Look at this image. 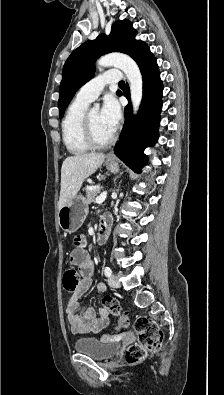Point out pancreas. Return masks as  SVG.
<instances>
[{
    "mask_svg": "<svg viewBox=\"0 0 224 395\" xmlns=\"http://www.w3.org/2000/svg\"><path fill=\"white\" fill-rule=\"evenodd\" d=\"M99 192H100V188H88L86 190V197L88 204L95 201V198L97 197Z\"/></svg>",
    "mask_w": 224,
    "mask_h": 395,
    "instance_id": "cf45deb5",
    "label": "pancreas"
}]
</instances>
